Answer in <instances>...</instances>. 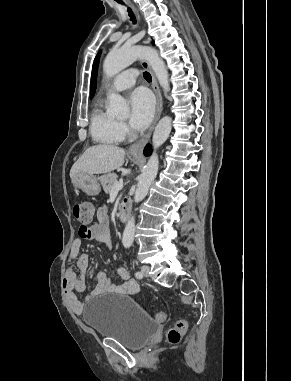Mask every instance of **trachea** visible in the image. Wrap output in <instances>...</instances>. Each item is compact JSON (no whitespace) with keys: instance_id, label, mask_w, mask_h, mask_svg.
I'll list each match as a JSON object with an SVG mask.
<instances>
[{"instance_id":"1","label":"trachea","mask_w":291,"mask_h":381,"mask_svg":"<svg viewBox=\"0 0 291 381\" xmlns=\"http://www.w3.org/2000/svg\"><path fill=\"white\" fill-rule=\"evenodd\" d=\"M128 13H129L131 21L135 24L136 23V19H135L134 14L132 13V11L130 9H128ZM143 76H144L146 81L151 82L152 77H151V74L149 72H144Z\"/></svg>"}]
</instances>
